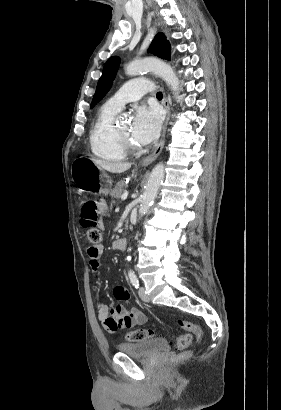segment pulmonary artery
I'll return each mask as SVG.
<instances>
[{
	"mask_svg": "<svg viewBox=\"0 0 281 410\" xmlns=\"http://www.w3.org/2000/svg\"><path fill=\"white\" fill-rule=\"evenodd\" d=\"M154 85L145 78H136L126 82L112 97L105 106L109 109L120 111L126 103L139 100L145 93L152 92Z\"/></svg>",
	"mask_w": 281,
	"mask_h": 410,
	"instance_id": "1",
	"label": "pulmonary artery"
}]
</instances>
